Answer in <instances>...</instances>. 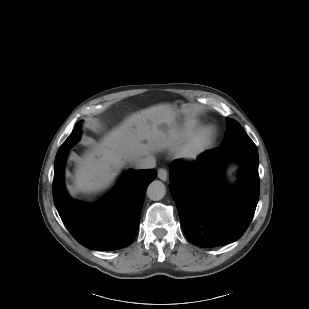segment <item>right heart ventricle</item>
Here are the masks:
<instances>
[{
  "instance_id": "1",
  "label": "right heart ventricle",
  "mask_w": 309,
  "mask_h": 309,
  "mask_svg": "<svg viewBox=\"0 0 309 309\" xmlns=\"http://www.w3.org/2000/svg\"><path fill=\"white\" fill-rule=\"evenodd\" d=\"M199 126L197 122H189L184 124L176 133H174L171 137L172 144H178L184 138L189 135L192 131H194Z\"/></svg>"
}]
</instances>
